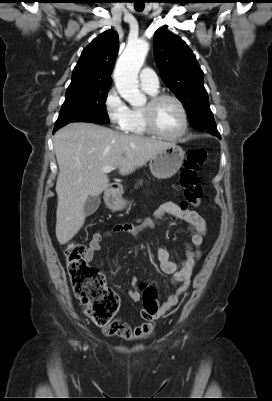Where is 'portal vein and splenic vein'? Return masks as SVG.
I'll return each mask as SVG.
<instances>
[{
	"label": "portal vein and splenic vein",
	"instance_id": "portal-vein-and-splenic-vein-1",
	"mask_svg": "<svg viewBox=\"0 0 272 401\" xmlns=\"http://www.w3.org/2000/svg\"><path fill=\"white\" fill-rule=\"evenodd\" d=\"M115 169V167L114 166H105V167H103V172L104 173H110L111 171H113Z\"/></svg>",
	"mask_w": 272,
	"mask_h": 401
}]
</instances>
